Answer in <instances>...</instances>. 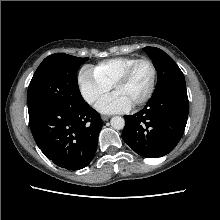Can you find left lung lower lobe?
Segmentation results:
<instances>
[{"label": "left lung lower lobe", "instance_id": "1", "mask_svg": "<svg viewBox=\"0 0 220 220\" xmlns=\"http://www.w3.org/2000/svg\"><path fill=\"white\" fill-rule=\"evenodd\" d=\"M186 84H177L152 95L146 106L126 115L122 137L143 157L157 158L171 152L180 141L187 123Z\"/></svg>", "mask_w": 220, "mask_h": 220}]
</instances>
